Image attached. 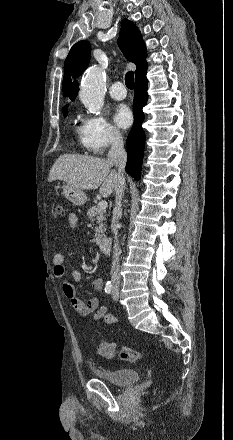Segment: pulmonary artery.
Returning a JSON list of instances; mask_svg holds the SVG:
<instances>
[{"instance_id":"e3ab8cb5","label":"pulmonary artery","mask_w":233,"mask_h":440,"mask_svg":"<svg viewBox=\"0 0 233 440\" xmlns=\"http://www.w3.org/2000/svg\"><path fill=\"white\" fill-rule=\"evenodd\" d=\"M110 95L112 98L116 100H122L126 97L127 92L122 82L116 81L112 84L110 91Z\"/></svg>"}]
</instances>
